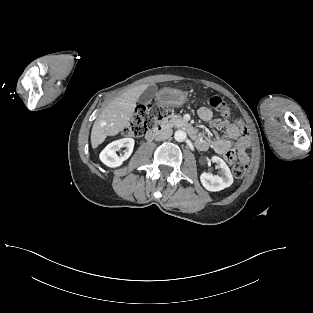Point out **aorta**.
<instances>
[{"instance_id": "762f6f07", "label": "aorta", "mask_w": 313, "mask_h": 313, "mask_svg": "<svg viewBox=\"0 0 313 313\" xmlns=\"http://www.w3.org/2000/svg\"><path fill=\"white\" fill-rule=\"evenodd\" d=\"M174 138L176 141L178 142H183L186 140L187 138V135H186V132L183 131V130H177L175 133H174Z\"/></svg>"}]
</instances>
